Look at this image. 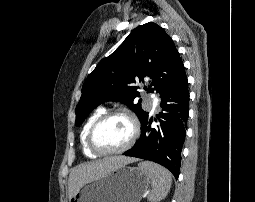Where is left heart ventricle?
I'll return each instance as SVG.
<instances>
[{"mask_svg": "<svg viewBox=\"0 0 255 202\" xmlns=\"http://www.w3.org/2000/svg\"><path fill=\"white\" fill-rule=\"evenodd\" d=\"M130 122L122 116H113L106 119L96 130L94 142L104 151H112L124 146L131 137Z\"/></svg>", "mask_w": 255, "mask_h": 202, "instance_id": "left-heart-ventricle-1", "label": "left heart ventricle"}]
</instances>
